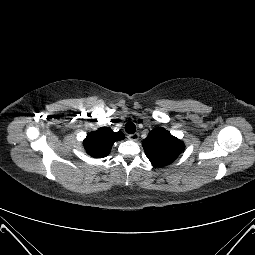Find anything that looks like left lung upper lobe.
<instances>
[{
	"label": "left lung upper lobe",
	"instance_id": "5c2ea615",
	"mask_svg": "<svg viewBox=\"0 0 255 255\" xmlns=\"http://www.w3.org/2000/svg\"><path fill=\"white\" fill-rule=\"evenodd\" d=\"M142 145L148 159L157 167L174 162L185 147L181 140L162 127L153 129Z\"/></svg>",
	"mask_w": 255,
	"mask_h": 255
}]
</instances>
